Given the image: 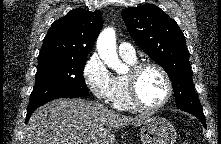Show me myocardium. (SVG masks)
Returning <instances> with one entry per match:
<instances>
[{"instance_id":"obj_1","label":"myocardium","mask_w":221,"mask_h":144,"mask_svg":"<svg viewBox=\"0 0 221 144\" xmlns=\"http://www.w3.org/2000/svg\"><path fill=\"white\" fill-rule=\"evenodd\" d=\"M148 68H154L158 70L163 76L166 83L165 98L163 99L162 102L153 106L146 105L145 103H143L138 95V90H137L138 79L140 75ZM126 83H127V91L130 102L133 104L135 108L142 110L156 111L163 108L169 103L173 94V84L169 74L162 66L154 62H142L131 66L128 74L126 75Z\"/></svg>"}]
</instances>
